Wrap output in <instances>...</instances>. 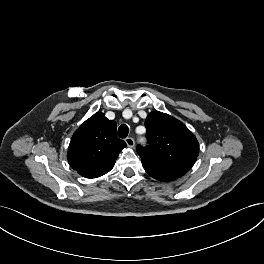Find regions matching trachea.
Here are the masks:
<instances>
[{"label":"trachea","instance_id":"3493384b","mask_svg":"<svg viewBox=\"0 0 264 264\" xmlns=\"http://www.w3.org/2000/svg\"><path fill=\"white\" fill-rule=\"evenodd\" d=\"M129 133V128L126 124H122L119 128H118V136L120 138H126L127 135Z\"/></svg>","mask_w":264,"mask_h":264}]
</instances>
